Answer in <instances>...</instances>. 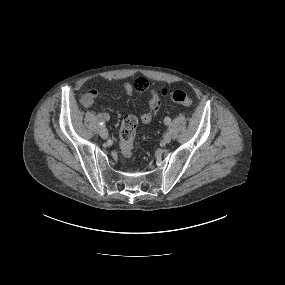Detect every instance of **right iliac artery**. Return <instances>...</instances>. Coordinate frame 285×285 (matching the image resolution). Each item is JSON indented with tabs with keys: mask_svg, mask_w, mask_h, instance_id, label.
Masks as SVG:
<instances>
[{
	"mask_svg": "<svg viewBox=\"0 0 285 285\" xmlns=\"http://www.w3.org/2000/svg\"><path fill=\"white\" fill-rule=\"evenodd\" d=\"M99 126H100V128H103V127H105V124H104V122L100 121V123H99Z\"/></svg>",
	"mask_w": 285,
	"mask_h": 285,
	"instance_id": "1",
	"label": "right iliac artery"
}]
</instances>
